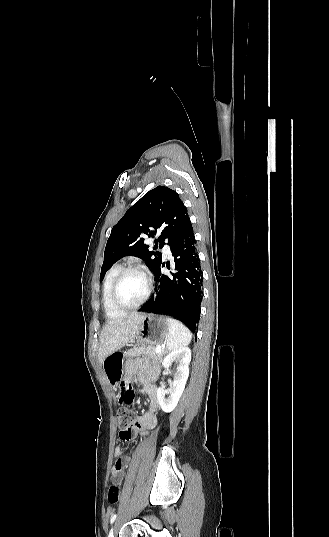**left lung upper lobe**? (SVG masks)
Masks as SVG:
<instances>
[{
  "mask_svg": "<svg viewBox=\"0 0 329 537\" xmlns=\"http://www.w3.org/2000/svg\"><path fill=\"white\" fill-rule=\"evenodd\" d=\"M189 224L187 209L174 190L158 186L147 192L112 228L100 280L118 258L126 255L141 258L154 272L161 263L162 255L150 251L149 246L144 244V237L158 234L156 244L159 243V248L163 247L165 240L171 247Z\"/></svg>",
  "mask_w": 329,
  "mask_h": 537,
  "instance_id": "1",
  "label": "left lung upper lobe"
}]
</instances>
